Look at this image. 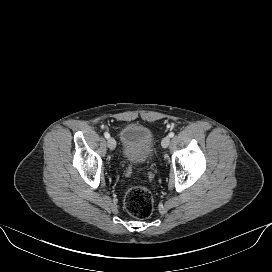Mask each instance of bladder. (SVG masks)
<instances>
[{
	"instance_id": "31cf9c89",
	"label": "bladder",
	"mask_w": 272,
	"mask_h": 272,
	"mask_svg": "<svg viewBox=\"0 0 272 272\" xmlns=\"http://www.w3.org/2000/svg\"><path fill=\"white\" fill-rule=\"evenodd\" d=\"M122 155L130 163H145L155 152L151 130L140 124H129L121 130Z\"/></svg>"
}]
</instances>
